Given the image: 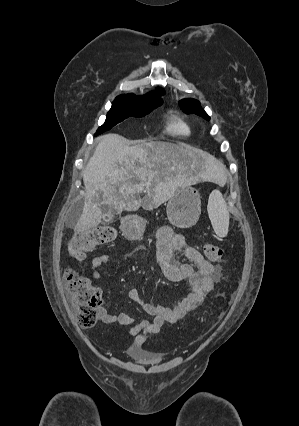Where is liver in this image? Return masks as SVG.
Returning a JSON list of instances; mask_svg holds the SVG:
<instances>
[{"instance_id":"liver-1","label":"liver","mask_w":299,"mask_h":426,"mask_svg":"<svg viewBox=\"0 0 299 426\" xmlns=\"http://www.w3.org/2000/svg\"><path fill=\"white\" fill-rule=\"evenodd\" d=\"M197 165L204 169L201 176L218 181L226 177L221 162L184 143L151 141L129 146L118 134L101 137L82 172L85 198L76 229L97 227L104 205L117 213L159 207L185 185L186 172ZM142 192L146 193L143 199Z\"/></svg>"}]
</instances>
